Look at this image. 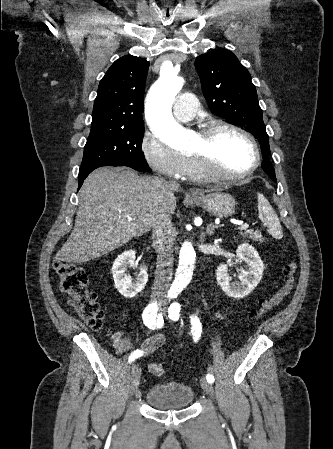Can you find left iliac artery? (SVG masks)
I'll return each instance as SVG.
<instances>
[{
    "mask_svg": "<svg viewBox=\"0 0 333 449\" xmlns=\"http://www.w3.org/2000/svg\"><path fill=\"white\" fill-rule=\"evenodd\" d=\"M180 304L177 302H174L170 305L168 309V316L172 320H178L179 319V312H180ZM191 332L193 335V339L195 342H197L201 336L202 332V325L197 316H191ZM206 380L210 383L214 382V376L210 373L206 375Z\"/></svg>",
    "mask_w": 333,
    "mask_h": 449,
    "instance_id": "left-iliac-artery-1",
    "label": "left iliac artery"
}]
</instances>
